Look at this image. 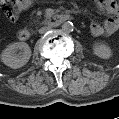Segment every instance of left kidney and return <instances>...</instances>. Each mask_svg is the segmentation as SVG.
Here are the masks:
<instances>
[{
    "label": "left kidney",
    "mask_w": 119,
    "mask_h": 119,
    "mask_svg": "<svg viewBox=\"0 0 119 119\" xmlns=\"http://www.w3.org/2000/svg\"><path fill=\"white\" fill-rule=\"evenodd\" d=\"M93 52L102 59H109L112 55L110 47L103 42H96L93 45Z\"/></svg>",
    "instance_id": "1"
}]
</instances>
